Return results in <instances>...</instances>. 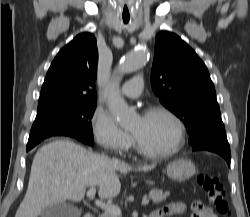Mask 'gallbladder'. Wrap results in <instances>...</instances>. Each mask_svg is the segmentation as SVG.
Here are the masks:
<instances>
[{"label":"gallbladder","mask_w":250,"mask_h":217,"mask_svg":"<svg viewBox=\"0 0 250 217\" xmlns=\"http://www.w3.org/2000/svg\"><path fill=\"white\" fill-rule=\"evenodd\" d=\"M81 210L69 203L60 202L46 207L40 217H80Z\"/></svg>","instance_id":"1"}]
</instances>
